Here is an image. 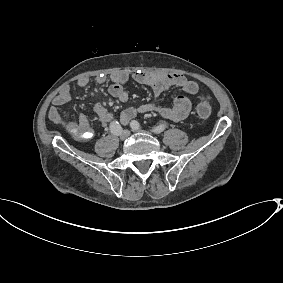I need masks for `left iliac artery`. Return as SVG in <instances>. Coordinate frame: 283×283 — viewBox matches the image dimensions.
Returning a JSON list of instances; mask_svg holds the SVG:
<instances>
[{"mask_svg":"<svg viewBox=\"0 0 283 283\" xmlns=\"http://www.w3.org/2000/svg\"><path fill=\"white\" fill-rule=\"evenodd\" d=\"M130 126L131 127H137V128L141 127L140 123L136 120H132L131 123H130ZM164 129H165V125H159V126L152 128L150 131L153 132V133H156V134H160L161 132L164 131Z\"/></svg>","mask_w":283,"mask_h":283,"instance_id":"obj_1","label":"left iliac artery"}]
</instances>
